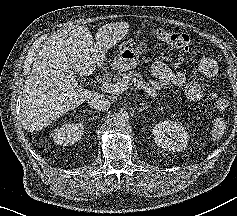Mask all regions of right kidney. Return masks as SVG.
<instances>
[{"instance_id": "obj_1", "label": "right kidney", "mask_w": 237, "mask_h": 216, "mask_svg": "<svg viewBox=\"0 0 237 216\" xmlns=\"http://www.w3.org/2000/svg\"><path fill=\"white\" fill-rule=\"evenodd\" d=\"M74 138H72V143L77 142L78 140H80L81 137H79L78 135L73 136Z\"/></svg>"}]
</instances>
